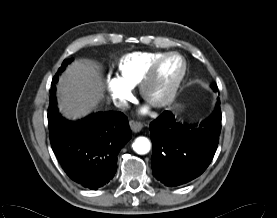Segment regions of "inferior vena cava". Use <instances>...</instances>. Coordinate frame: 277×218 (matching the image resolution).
<instances>
[{
	"mask_svg": "<svg viewBox=\"0 0 277 218\" xmlns=\"http://www.w3.org/2000/svg\"><path fill=\"white\" fill-rule=\"evenodd\" d=\"M114 105L117 108H120L122 110H125L128 108V102L125 100H114Z\"/></svg>",
	"mask_w": 277,
	"mask_h": 218,
	"instance_id": "602c4592",
	"label": "inferior vena cava"
}]
</instances>
